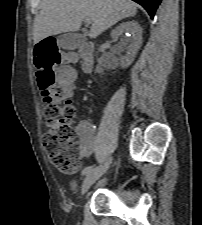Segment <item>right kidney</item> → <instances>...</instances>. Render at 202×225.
Here are the masks:
<instances>
[{"label": "right kidney", "instance_id": "right-kidney-1", "mask_svg": "<svg viewBox=\"0 0 202 225\" xmlns=\"http://www.w3.org/2000/svg\"><path fill=\"white\" fill-rule=\"evenodd\" d=\"M111 37H121L120 47H126V55L121 58L122 68H126L134 61V58L142 44V28L136 21H127L118 25L112 32ZM96 72H102L97 66Z\"/></svg>", "mask_w": 202, "mask_h": 225}]
</instances>
